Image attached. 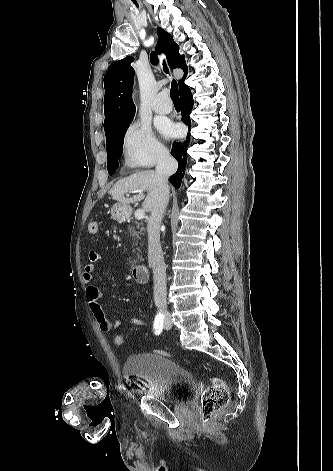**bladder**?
Segmentation results:
<instances>
[{"label": "bladder", "mask_w": 333, "mask_h": 471, "mask_svg": "<svg viewBox=\"0 0 333 471\" xmlns=\"http://www.w3.org/2000/svg\"><path fill=\"white\" fill-rule=\"evenodd\" d=\"M123 373L143 380L146 393L169 405L184 402L196 389L195 379L189 371L156 353L130 355L124 363Z\"/></svg>", "instance_id": "bladder-1"}]
</instances>
